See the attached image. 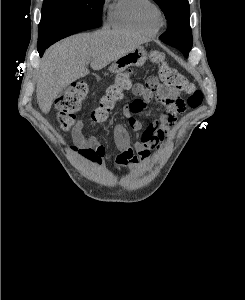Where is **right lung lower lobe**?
<instances>
[{
  "label": "right lung lower lobe",
  "mask_w": 245,
  "mask_h": 300,
  "mask_svg": "<svg viewBox=\"0 0 245 300\" xmlns=\"http://www.w3.org/2000/svg\"><path fill=\"white\" fill-rule=\"evenodd\" d=\"M99 26H101V22L100 23H90L85 28H86V30H88V29H92V28H97ZM49 46L50 45L37 46L40 56L43 55L45 49L48 48Z\"/></svg>",
  "instance_id": "98d812e1"
}]
</instances>
